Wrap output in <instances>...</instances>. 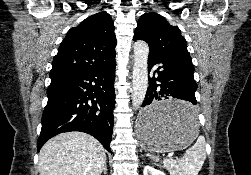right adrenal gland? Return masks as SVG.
I'll list each match as a JSON object with an SVG mask.
<instances>
[{
    "instance_id": "1",
    "label": "right adrenal gland",
    "mask_w": 251,
    "mask_h": 175,
    "mask_svg": "<svg viewBox=\"0 0 251 175\" xmlns=\"http://www.w3.org/2000/svg\"><path fill=\"white\" fill-rule=\"evenodd\" d=\"M102 171H103V173H107V171H108L106 161L104 163V167H103Z\"/></svg>"
}]
</instances>
